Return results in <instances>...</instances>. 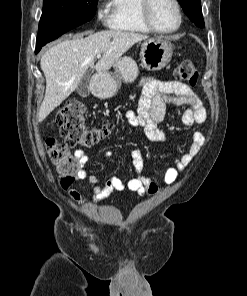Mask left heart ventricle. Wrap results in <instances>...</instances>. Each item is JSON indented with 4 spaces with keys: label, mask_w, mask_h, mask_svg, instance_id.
I'll return each mask as SVG.
<instances>
[{
    "label": "left heart ventricle",
    "mask_w": 247,
    "mask_h": 296,
    "mask_svg": "<svg viewBox=\"0 0 247 296\" xmlns=\"http://www.w3.org/2000/svg\"><path fill=\"white\" fill-rule=\"evenodd\" d=\"M151 14L155 25L163 30L174 28L178 21L176 9L171 0H153Z\"/></svg>",
    "instance_id": "b2bd125f"
}]
</instances>
